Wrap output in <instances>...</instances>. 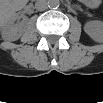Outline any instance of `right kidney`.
<instances>
[{
  "instance_id": "obj_1",
  "label": "right kidney",
  "mask_w": 103,
  "mask_h": 103,
  "mask_svg": "<svg viewBox=\"0 0 103 103\" xmlns=\"http://www.w3.org/2000/svg\"><path fill=\"white\" fill-rule=\"evenodd\" d=\"M16 18V13L7 20H4L3 16L1 15V35L5 41H15L19 39L21 35V24H15Z\"/></svg>"
}]
</instances>
